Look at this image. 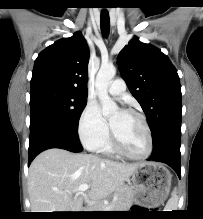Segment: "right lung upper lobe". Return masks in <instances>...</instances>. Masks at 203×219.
I'll return each mask as SVG.
<instances>
[{"label": "right lung upper lobe", "instance_id": "1", "mask_svg": "<svg viewBox=\"0 0 203 219\" xmlns=\"http://www.w3.org/2000/svg\"><path fill=\"white\" fill-rule=\"evenodd\" d=\"M89 48L81 32L42 51L34 63L31 85L53 84L87 95Z\"/></svg>", "mask_w": 203, "mask_h": 219}]
</instances>
